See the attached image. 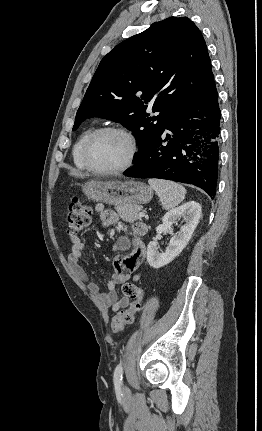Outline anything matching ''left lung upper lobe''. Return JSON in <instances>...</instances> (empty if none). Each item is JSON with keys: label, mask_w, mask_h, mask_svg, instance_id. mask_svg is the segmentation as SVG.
Listing matches in <instances>:
<instances>
[{"label": "left lung upper lobe", "mask_w": 262, "mask_h": 431, "mask_svg": "<svg viewBox=\"0 0 262 431\" xmlns=\"http://www.w3.org/2000/svg\"><path fill=\"white\" fill-rule=\"evenodd\" d=\"M200 30L186 17L155 22L101 60L77 111L73 130L89 117L120 122L147 151L169 121L213 83ZM147 109L159 111L150 117Z\"/></svg>", "instance_id": "5c2ea615"}]
</instances>
